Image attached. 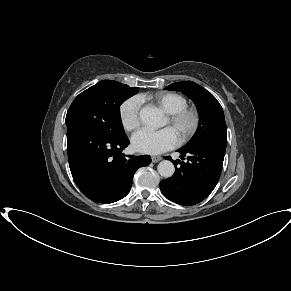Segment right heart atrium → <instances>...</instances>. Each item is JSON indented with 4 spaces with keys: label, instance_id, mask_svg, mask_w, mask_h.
<instances>
[{
    "label": "right heart atrium",
    "instance_id": "right-heart-atrium-1",
    "mask_svg": "<svg viewBox=\"0 0 291 291\" xmlns=\"http://www.w3.org/2000/svg\"><path fill=\"white\" fill-rule=\"evenodd\" d=\"M141 99L132 96L124 100L119 107V119L126 131H134L140 125Z\"/></svg>",
    "mask_w": 291,
    "mask_h": 291
}]
</instances>
